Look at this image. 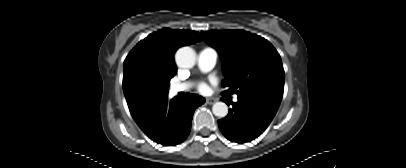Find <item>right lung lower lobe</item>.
Wrapping results in <instances>:
<instances>
[{
    "label": "right lung lower lobe",
    "mask_w": 406,
    "mask_h": 168,
    "mask_svg": "<svg viewBox=\"0 0 406 168\" xmlns=\"http://www.w3.org/2000/svg\"><path fill=\"white\" fill-rule=\"evenodd\" d=\"M205 99L187 94L180 102L168 97L132 115L141 130L153 141L164 146L182 143L189 135L193 113Z\"/></svg>",
    "instance_id": "98d812e1"
}]
</instances>
